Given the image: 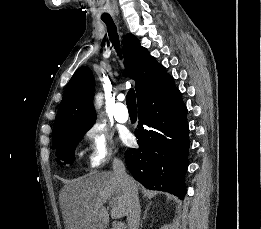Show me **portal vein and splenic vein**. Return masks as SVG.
Returning <instances> with one entry per match:
<instances>
[{"label": "portal vein and splenic vein", "instance_id": "obj_1", "mask_svg": "<svg viewBox=\"0 0 261 229\" xmlns=\"http://www.w3.org/2000/svg\"><path fill=\"white\" fill-rule=\"evenodd\" d=\"M115 229H124L123 223H117Z\"/></svg>", "mask_w": 261, "mask_h": 229}]
</instances>
